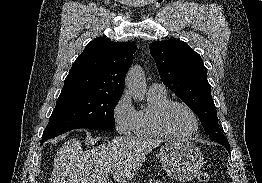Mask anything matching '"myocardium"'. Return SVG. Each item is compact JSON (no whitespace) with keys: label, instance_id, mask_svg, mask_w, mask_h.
<instances>
[{"label":"myocardium","instance_id":"1","mask_svg":"<svg viewBox=\"0 0 262 183\" xmlns=\"http://www.w3.org/2000/svg\"><path fill=\"white\" fill-rule=\"evenodd\" d=\"M174 106L184 107L193 116L194 121H195V127L191 132H188L185 134H177L171 131L169 127L167 126L166 120H167L168 113ZM156 125L160 133L165 137L174 138V139H186V138L194 136L199 131L200 119L196 111L186 102L178 101V100H170L166 104H164L158 111L157 116H156Z\"/></svg>","mask_w":262,"mask_h":183}]
</instances>
